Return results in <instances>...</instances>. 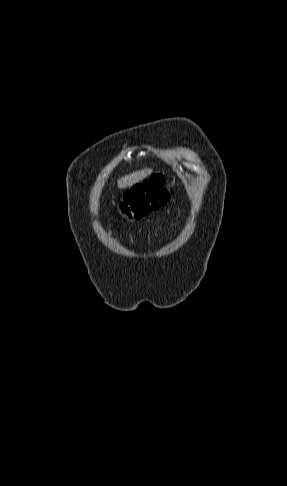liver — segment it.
<instances>
[{
	"label": "liver",
	"instance_id": "1",
	"mask_svg": "<svg viewBox=\"0 0 287 486\" xmlns=\"http://www.w3.org/2000/svg\"><path fill=\"white\" fill-rule=\"evenodd\" d=\"M151 172L152 169L146 168L126 175L118 180V188L124 189L126 187H131L139 181L145 179L151 174Z\"/></svg>",
	"mask_w": 287,
	"mask_h": 486
}]
</instances>
